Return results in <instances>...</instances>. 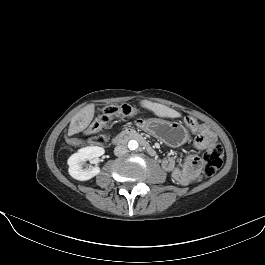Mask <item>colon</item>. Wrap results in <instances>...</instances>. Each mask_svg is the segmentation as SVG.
<instances>
[{"label": "colon", "instance_id": "1", "mask_svg": "<svg viewBox=\"0 0 265 265\" xmlns=\"http://www.w3.org/2000/svg\"><path fill=\"white\" fill-rule=\"evenodd\" d=\"M140 111L129 105L122 104L118 106H107L99 111L95 119L86 129V133L90 135L89 142L93 145L103 146L107 143V136L100 131L107 127L116 117H133L137 116ZM187 126L193 130H201L202 124L197 122L193 117L185 118ZM224 152L220 145H211L206 148L203 154V172L206 176H213L222 167Z\"/></svg>", "mask_w": 265, "mask_h": 265}]
</instances>
